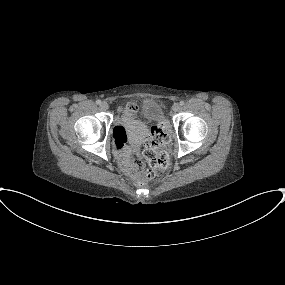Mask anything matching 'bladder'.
Returning a JSON list of instances; mask_svg holds the SVG:
<instances>
[{
  "label": "bladder",
  "instance_id": "bladder-1",
  "mask_svg": "<svg viewBox=\"0 0 285 285\" xmlns=\"http://www.w3.org/2000/svg\"><path fill=\"white\" fill-rule=\"evenodd\" d=\"M164 119V109L156 100H148L141 108V118L128 117L124 121V134L130 145L142 140L147 132L145 120L160 122Z\"/></svg>",
  "mask_w": 285,
  "mask_h": 285
}]
</instances>
